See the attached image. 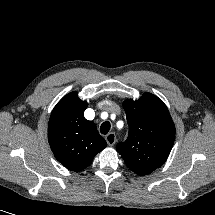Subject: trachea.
Returning <instances> with one entry per match:
<instances>
[{
	"mask_svg": "<svg viewBox=\"0 0 215 215\" xmlns=\"http://www.w3.org/2000/svg\"><path fill=\"white\" fill-rule=\"evenodd\" d=\"M110 122L106 121L104 123L101 124V127H100V131L102 134H107L110 130Z\"/></svg>",
	"mask_w": 215,
	"mask_h": 215,
	"instance_id": "3493384b",
	"label": "trachea"
}]
</instances>
